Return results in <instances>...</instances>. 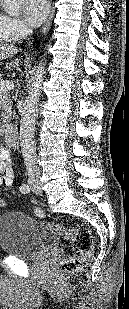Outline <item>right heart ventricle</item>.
<instances>
[{
    "instance_id": "obj_1",
    "label": "right heart ventricle",
    "mask_w": 129,
    "mask_h": 309,
    "mask_svg": "<svg viewBox=\"0 0 129 309\" xmlns=\"http://www.w3.org/2000/svg\"><path fill=\"white\" fill-rule=\"evenodd\" d=\"M5 20L6 16L0 13V42L13 41L6 31Z\"/></svg>"
}]
</instances>
